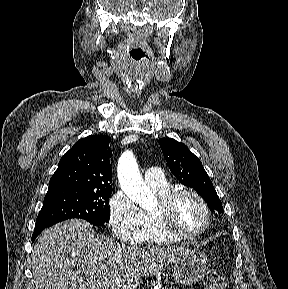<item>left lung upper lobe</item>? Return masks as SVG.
I'll use <instances>...</instances> for the list:
<instances>
[{
  "label": "left lung upper lobe",
  "instance_id": "left-lung-upper-lobe-1",
  "mask_svg": "<svg viewBox=\"0 0 288 289\" xmlns=\"http://www.w3.org/2000/svg\"><path fill=\"white\" fill-rule=\"evenodd\" d=\"M159 144L171 172L178 180L194 188L211 211L223 213L222 203L199 158L185 144L174 139L161 138Z\"/></svg>",
  "mask_w": 288,
  "mask_h": 289
}]
</instances>
